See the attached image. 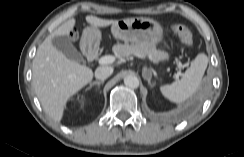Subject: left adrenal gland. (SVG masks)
I'll return each instance as SVG.
<instances>
[{
  "label": "left adrenal gland",
  "instance_id": "obj_1",
  "mask_svg": "<svg viewBox=\"0 0 244 157\" xmlns=\"http://www.w3.org/2000/svg\"><path fill=\"white\" fill-rule=\"evenodd\" d=\"M143 77H144V79H146L148 81V84L150 86H154L155 85V83H153V84L151 83L152 73H151V71L149 69H147V68L143 69Z\"/></svg>",
  "mask_w": 244,
  "mask_h": 157
}]
</instances>
